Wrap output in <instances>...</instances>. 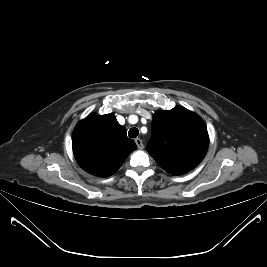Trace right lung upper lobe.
<instances>
[{"label":"right lung upper lobe","instance_id":"right-lung-upper-lobe-1","mask_svg":"<svg viewBox=\"0 0 267 267\" xmlns=\"http://www.w3.org/2000/svg\"><path fill=\"white\" fill-rule=\"evenodd\" d=\"M73 153L86 172L108 177L114 174L127 156L136 149L133 140L112 114H90L73 131Z\"/></svg>","mask_w":267,"mask_h":267}]
</instances>
